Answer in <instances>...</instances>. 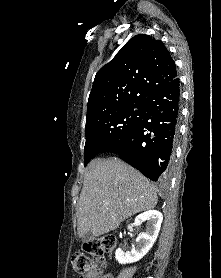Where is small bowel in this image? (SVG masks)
Segmentation results:
<instances>
[{"mask_svg": "<svg viewBox=\"0 0 221 278\" xmlns=\"http://www.w3.org/2000/svg\"><path fill=\"white\" fill-rule=\"evenodd\" d=\"M100 278H114L111 273H105Z\"/></svg>", "mask_w": 221, "mask_h": 278, "instance_id": "c3829d8e", "label": "small bowel"}]
</instances>
